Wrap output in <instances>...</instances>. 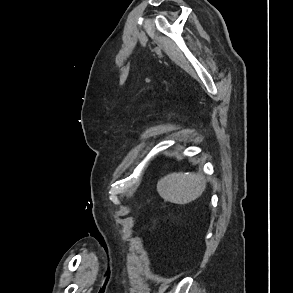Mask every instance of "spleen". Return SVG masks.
I'll list each match as a JSON object with an SVG mask.
<instances>
[{
  "instance_id": "obj_1",
  "label": "spleen",
  "mask_w": 293,
  "mask_h": 293,
  "mask_svg": "<svg viewBox=\"0 0 293 293\" xmlns=\"http://www.w3.org/2000/svg\"><path fill=\"white\" fill-rule=\"evenodd\" d=\"M205 188V177L195 172H173L157 183L159 195L165 201L175 204H187L196 200Z\"/></svg>"
}]
</instances>
